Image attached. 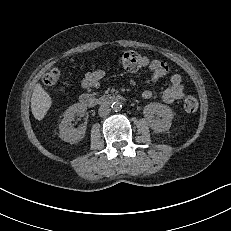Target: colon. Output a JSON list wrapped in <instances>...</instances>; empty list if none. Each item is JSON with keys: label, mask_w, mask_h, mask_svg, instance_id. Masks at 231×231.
Here are the masks:
<instances>
[{"label": "colon", "mask_w": 231, "mask_h": 231, "mask_svg": "<svg viewBox=\"0 0 231 231\" xmlns=\"http://www.w3.org/2000/svg\"><path fill=\"white\" fill-rule=\"evenodd\" d=\"M121 66L129 72H137L145 68L148 64V58L135 51H127L120 57ZM62 77V71L58 68L49 71L43 78L45 87L55 86ZM198 108V101L193 96H188L184 100V109L187 112H195Z\"/></svg>", "instance_id": "obj_1"}]
</instances>
